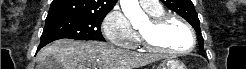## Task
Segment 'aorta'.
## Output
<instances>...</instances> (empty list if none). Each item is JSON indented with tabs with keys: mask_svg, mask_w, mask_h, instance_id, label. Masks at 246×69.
I'll return each instance as SVG.
<instances>
[{
	"mask_svg": "<svg viewBox=\"0 0 246 69\" xmlns=\"http://www.w3.org/2000/svg\"><path fill=\"white\" fill-rule=\"evenodd\" d=\"M120 5L125 16L133 26L146 19V14L139 6L138 0H120Z\"/></svg>",
	"mask_w": 246,
	"mask_h": 69,
	"instance_id": "aorta-1",
	"label": "aorta"
}]
</instances>
